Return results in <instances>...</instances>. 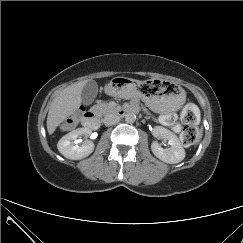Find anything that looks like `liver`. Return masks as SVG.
<instances>
[{"label": "liver", "instance_id": "obj_1", "mask_svg": "<svg viewBox=\"0 0 243 243\" xmlns=\"http://www.w3.org/2000/svg\"><path fill=\"white\" fill-rule=\"evenodd\" d=\"M87 82V80L76 82L54 98L47 116V131L50 135L79 108L81 105L80 95Z\"/></svg>", "mask_w": 243, "mask_h": 243}]
</instances>
